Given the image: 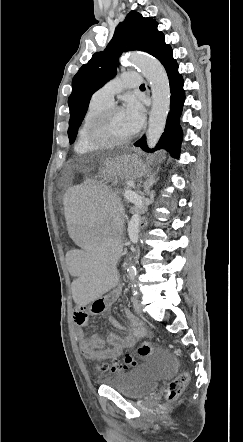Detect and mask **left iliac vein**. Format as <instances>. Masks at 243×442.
<instances>
[{
	"label": "left iliac vein",
	"mask_w": 243,
	"mask_h": 442,
	"mask_svg": "<svg viewBox=\"0 0 243 442\" xmlns=\"http://www.w3.org/2000/svg\"><path fill=\"white\" fill-rule=\"evenodd\" d=\"M133 308L137 313H141V305L136 298L133 299Z\"/></svg>",
	"instance_id": "4c4485c4"
}]
</instances>
